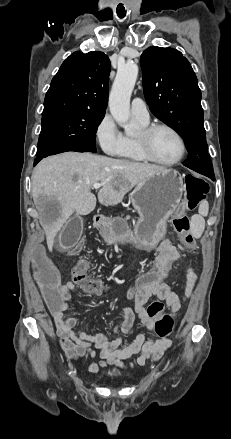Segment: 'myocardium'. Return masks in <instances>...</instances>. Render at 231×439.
<instances>
[{
  "label": "myocardium",
  "instance_id": "f54148a6",
  "mask_svg": "<svg viewBox=\"0 0 231 439\" xmlns=\"http://www.w3.org/2000/svg\"><path fill=\"white\" fill-rule=\"evenodd\" d=\"M159 129H165L171 132L178 140L180 145V153L179 155L172 161H160L157 158L154 157V155L151 152L150 149V137L152 134L159 130ZM137 147L144 157L145 160L152 162L154 164L165 166V167H171L176 164H178L185 156L186 153V143L182 135L171 125L165 124V123H155L150 124L147 126L142 127L138 134L135 136Z\"/></svg>",
  "mask_w": 231,
  "mask_h": 439
}]
</instances>
